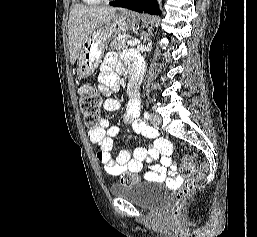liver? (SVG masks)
I'll return each instance as SVG.
<instances>
[{
  "instance_id": "1",
  "label": "liver",
  "mask_w": 257,
  "mask_h": 237,
  "mask_svg": "<svg viewBox=\"0 0 257 237\" xmlns=\"http://www.w3.org/2000/svg\"><path fill=\"white\" fill-rule=\"evenodd\" d=\"M113 7H91L76 4L69 14L68 34L70 61L73 65L79 56L83 43L98 27L108 22L115 14Z\"/></svg>"
}]
</instances>
